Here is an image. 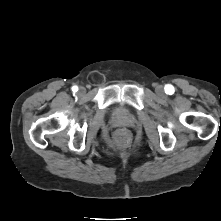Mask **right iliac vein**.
Here are the masks:
<instances>
[{
  "instance_id": "right-iliac-vein-1",
  "label": "right iliac vein",
  "mask_w": 221,
  "mask_h": 221,
  "mask_svg": "<svg viewBox=\"0 0 221 221\" xmlns=\"http://www.w3.org/2000/svg\"><path fill=\"white\" fill-rule=\"evenodd\" d=\"M85 93V89L83 88V87H81L80 89H79V94H84Z\"/></svg>"
}]
</instances>
